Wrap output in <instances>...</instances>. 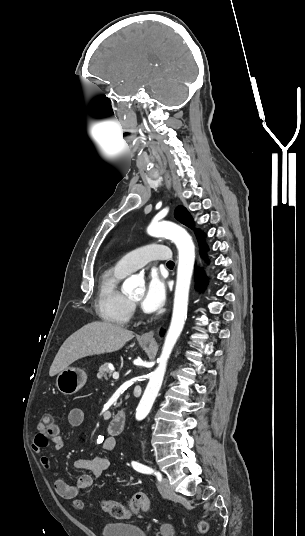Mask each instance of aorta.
Here are the masks:
<instances>
[{"label":"aorta","mask_w":305,"mask_h":536,"mask_svg":"<svg viewBox=\"0 0 305 536\" xmlns=\"http://www.w3.org/2000/svg\"><path fill=\"white\" fill-rule=\"evenodd\" d=\"M147 232L153 237H166L175 243L178 249V267L171 323L161 355L157 359L158 367L151 374L136 409L137 420L144 419L150 412L161 388L170 354L183 330L187 319L189 290L195 262V246L191 236L184 228L175 223L163 221L151 223ZM142 283L143 281L137 276H131L123 283V290L126 293H138Z\"/></svg>","instance_id":"aorta-1"}]
</instances>
